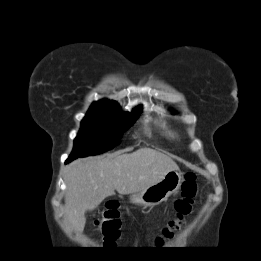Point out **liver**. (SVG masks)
Instances as JSON below:
<instances>
[{
	"label": "liver",
	"instance_id": "6515ba94",
	"mask_svg": "<svg viewBox=\"0 0 261 261\" xmlns=\"http://www.w3.org/2000/svg\"><path fill=\"white\" fill-rule=\"evenodd\" d=\"M178 169L169 156L151 148L75 160L64 175L65 219L82 232L85 213L97 208L115 190L119 194H136Z\"/></svg>",
	"mask_w": 261,
	"mask_h": 261
}]
</instances>
